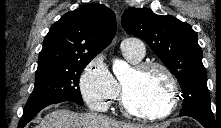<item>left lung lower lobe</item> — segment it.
Returning a JSON list of instances; mask_svg holds the SVG:
<instances>
[{"label": "left lung lower lobe", "instance_id": "obj_1", "mask_svg": "<svg viewBox=\"0 0 221 128\" xmlns=\"http://www.w3.org/2000/svg\"><path fill=\"white\" fill-rule=\"evenodd\" d=\"M180 116H190L200 122L204 128H218L219 121L215 119L214 114L202 113V112H191L186 114H180Z\"/></svg>", "mask_w": 221, "mask_h": 128}]
</instances>
